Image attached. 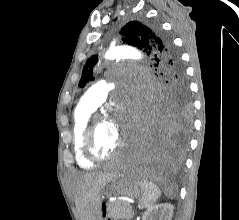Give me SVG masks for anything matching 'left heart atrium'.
Masks as SVG:
<instances>
[{"label":"left heart atrium","instance_id":"obj_1","mask_svg":"<svg viewBox=\"0 0 239 220\" xmlns=\"http://www.w3.org/2000/svg\"><path fill=\"white\" fill-rule=\"evenodd\" d=\"M122 113L121 112H118L117 115H116V120L117 121H124L125 119L122 117L121 115ZM115 124V123H114ZM116 125V124H115ZM117 127V125H116Z\"/></svg>","mask_w":239,"mask_h":220}]
</instances>
